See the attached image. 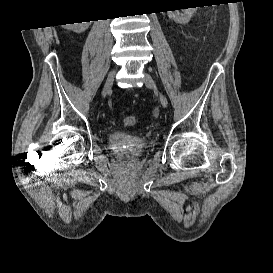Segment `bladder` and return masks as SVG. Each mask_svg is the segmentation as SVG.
Segmentation results:
<instances>
[{"mask_svg": "<svg viewBox=\"0 0 273 273\" xmlns=\"http://www.w3.org/2000/svg\"><path fill=\"white\" fill-rule=\"evenodd\" d=\"M146 144L145 137L130 132L111 131L108 136L109 150L128 159L140 156Z\"/></svg>", "mask_w": 273, "mask_h": 273, "instance_id": "1", "label": "bladder"}]
</instances>
